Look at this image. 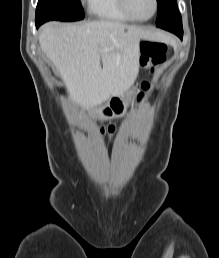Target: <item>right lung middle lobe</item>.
<instances>
[{"label":"right lung middle lobe","mask_w":219,"mask_h":258,"mask_svg":"<svg viewBox=\"0 0 219 258\" xmlns=\"http://www.w3.org/2000/svg\"><path fill=\"white\" fill-rule=\"evenodd\" d=\"M84 16L80 0H38L35 22L43 24L49 20L78 21Z\"/></svg>","instance_id":"1"}]
</instances>
